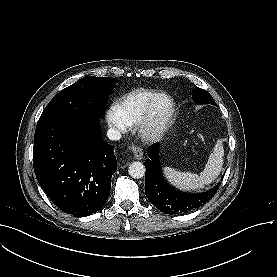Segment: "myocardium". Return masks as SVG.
Here are the masks:
<instances>
[{
  "mask_svg": "<svg viewBox=\"0 0 277 277\" xmlns=\"http://www.w3.org/2000/svg\"><path fill=\"white\" fill-rule=\"evenodd\" d=\"M160 100L167 102L168 106L163 114L156 112L157 104ZM175 112V103L164 93L156 94L148 104L145 115L138 125L139 135L147 142L158 140L168 129Z\"/></svg>",
  "mask_w": 277,
  "mask_h": 277,
  "instance_id": "f54148a6",
  "label": "myocardium"
}]
</instances>
